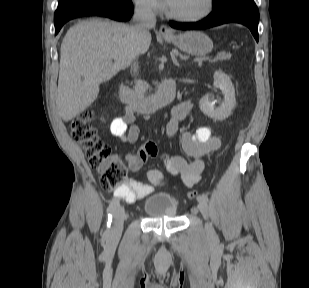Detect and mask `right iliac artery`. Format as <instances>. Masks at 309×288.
Instances as JSON below:
<instances>
[{"mask_svg":"<svg viewBox=\"0 0 309 288\" xmlns=\"http://www.w3.org/2000/svg\"><path fill=\"white\" fill-rule=\"evenodd\" d=\"M118 204H119V201L117 199H113L107 208V226L108 227L111 226L112 216L114 212L116 211ZM106 233H108V231H106Z\"/></svg>","mask_w":309,"mask_h":288,"instance_id":"1","label":"right iliac artery"}]
</instances>
